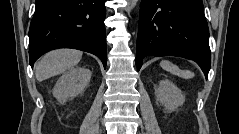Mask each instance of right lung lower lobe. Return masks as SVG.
Segmentation results:
<instances>
[{"instance_id":"98d812e1","label":"right lung lower lobe","mask_w":239,"mask_h":134,"mask_svg":"<svg viewBox=\"0 0 239 134\" xmlns=\"http://www.w3.org/2000/svg\"><path fill=\"white\" fill-rule=\"evenodd\" d=\"M106 0H36L29 29L30 65L44 53L74 48L98 56L106 67Z\"/></svg>"}]
</instances>
